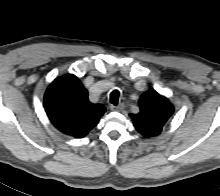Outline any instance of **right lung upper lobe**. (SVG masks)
Segmentation results:
<instances>
[{"label": "right lung upper lobe", "instance_id": "right-lung-upper-lobe-1", "mask_svg": "<svg viewBox=\"0 0 220 196\" xmlns=\"http://www.w3.org/2000/svg\"><path fill=\"white\" fill-rule=\"evenodd\" d=\"M44 106L53 125L75 138L86 136L106 111L102 104L89 102L87 90L73 74L56 78L50 84Z\"/></svg>", "mask_w": 220, "mask_h": 196}]
</instances>
